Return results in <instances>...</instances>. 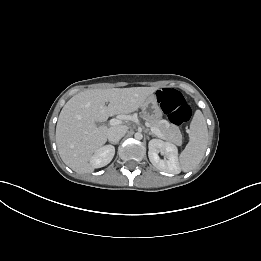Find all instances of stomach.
<instances>
[{"instance_id": "0dacf381", "label": "stomach", "mask_w": 261, "mask_h": 261, "mask_svg": "<svg viewBox=\"0 0 261 261\" xmlns=\"http://www.w3.org/2000/svg\"><path fill=\"white\" fill-rule=\"evenodd\" d=\"M141 107L144 115L147 118L161 116V110L155 95L149 96Z\"/></svg>"}]
</instances>
